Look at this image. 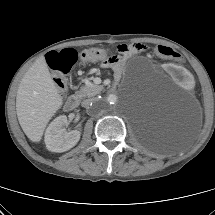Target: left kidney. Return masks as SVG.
<instances>
[{"mask_svg": "<svg viewBox=\"0 0 215 215\" xmlns=\"http://www.w3.org/2000/svg\"><path fill=\"white\" fill-rule=\"evenodd\" d=\"M164 72L187 89H192L196 85V80L193 76L185 72L182 67L176 66L173 63H168L164 67Z\"/></svg>", "mask_w": 215, "mask_h": 215, "instance_id": "obj_1", "label": "left kidney"}]
</instances>
